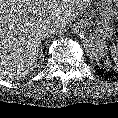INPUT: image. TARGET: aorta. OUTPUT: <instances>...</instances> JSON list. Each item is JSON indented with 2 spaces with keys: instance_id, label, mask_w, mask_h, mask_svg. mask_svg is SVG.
<instances>
[{
  "instance_id": "762f6f07",
  "label": "aorta",
  "mask_w": 118,
  "mask_h": 118,
  "mask_svg": "<svg viewBox=\"0 0 118 118\" xmlns=\"http://www.w3.org/2000/svg\"><path fill=\"white\" fill-rule=\"evenodd\" d=\"M84 50L91 60H100L105 55V48L101 42L96 39L89 38L84 42Z\"/></svg>"
}]
</instances>
